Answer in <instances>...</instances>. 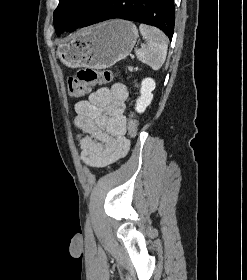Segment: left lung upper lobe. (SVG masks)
Listing matches in <instances>:
<instances>
[{"mask_svg": "<svg viewBox=\"0 0 247 280\" xmlns=\"http://www.w3.org/2000/svg\"><path fill=\"white\" fill-rule=\"evenodd\" d=\"M104 0H59L58 7L54 11V26L57 35L62 31L75 30L91 11Z\"/></svg>", "mask_w": 247, "mask_h": 280, "instance_id": "left-lung-upper-lobe-1", "label": "left lung upper lobe"}]
</instances>
